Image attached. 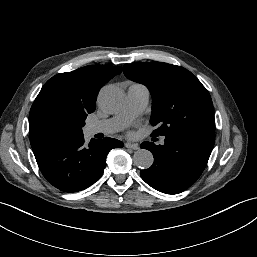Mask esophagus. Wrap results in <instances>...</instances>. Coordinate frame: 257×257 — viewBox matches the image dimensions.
<instances>
[{
  "label": "esophagus",
  "mask_w": 257,
  "mask_h": 257,
  "mask_svg": "<svg viewBox=\"0 0 257 257\" xmlns=\"http://www.w3.org/2000/svg\"><path fill=\"white\" fill-rule=\"evenodd\" d=\"M125 147L132 149V150H138L139 145L137 143H125Z\"/></svg>",
  "instance_id": "obj_1"
}]
</instances>
